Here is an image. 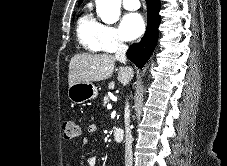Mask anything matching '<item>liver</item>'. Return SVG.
<instances>
[{
	"instance_id": "obj_1",
	"label": "liver",
	"mask_w": 227,
	"mask_h": 166,
	"mask_svg": "<svg viewBox=\"0 0 227 166\" xmlns=\"http://www.w3.org/2000/svg\"><path fill=\"white\" fill-rule=\"evenodd\" d=\"M116 58L111 54H77L71 58L69 63L68 83L69 86L83 82H99L110 78L115 68ZM118 81L126 83V70L120 68ZM110 83L109 87H113Z\"/></svg>"
}]
</instances>
